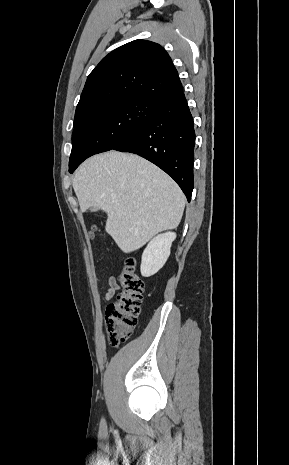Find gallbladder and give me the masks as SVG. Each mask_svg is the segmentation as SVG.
<instances>
[{
	"label": "gallbladder",
	"mask_w": 289,
	"mask_h": 465,
	"mask_svg": "<svg viewBox=\"0 0 289 465\" xmlns=\"http://www.w3.org/2000/svg\"><path fill=\"white\" fill-rule=\"evenodd\" d=\"M91 211H96L97 209L96 208H90Z\"/></svg>",
	"instance_id": "gallbladder-1"
}]
</instances>
